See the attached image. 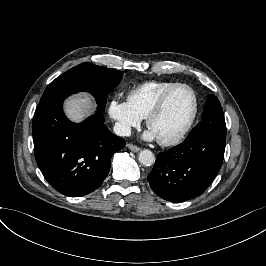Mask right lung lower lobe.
Returning <instances> with one entry per match:
<instances>
[{"label": "right lung lower lobe", "instance_id": "obj_1", "mask_svg": "<svg viewBox=\"0 0 266 266\" xmlns=\"http://www.w3.org/2000/svg\"><path fill=\"white\" fill-rule=\"evenodd\" d=\"M69 95L57 93L40 101L32 133L36 161L48 183L66 196L80 197L102 184L112 154L125 146V140L104 125L99 107L83 123L69 121L62 109Z\"/></svg>", "mask_w": 266, "mask_h": 266}]
</instances>
